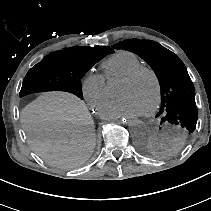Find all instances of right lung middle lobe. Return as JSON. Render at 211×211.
<instances>
[{
  "label": "right lung middle lobe",
  "instance_id": "obj_1",
  "mask_svg": "<svg viewBox=\"0 0 211 211\" xmlns=\"http://www.w3.org/2000/svg\"><path fill=\"white\" fill-rule=\"evenodd\" d=\"M106 55L78 47L53 52L28 71L20 96L45 91H67L82 99L81 79Z\"/></svg>",
  "mask_w": 211,
  "mask_h": 211
}]
</instances>
